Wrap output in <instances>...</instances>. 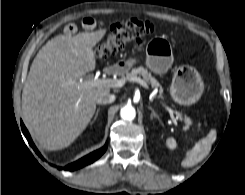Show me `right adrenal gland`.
<instances>
[{
	"instance_id": "2a0ac1e0",
	"label": "right adrenal gland",
	"mask_w": 245,
	"mask_h": 195,
	"mask_svg": "<svg viewBox=\"0 0 245 195\" xmlns=\"http://www.w3.org/2000/svg\"><path fill=\"white\" fill-rule=\"evenodd\" d=\"M99 111H100V108L97 109L92 123L97 119V116H98Z\"/></svg>"
}]
</instances>
